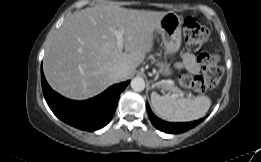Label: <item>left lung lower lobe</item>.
I'll return each mask as SVG.
<instances>
[{
  "label": "left lung lower lobe",
  "mask_w": 261,
  "mask_h": 162,
  "mask_svg": "<svg viewBox=\"0 0 261 162\" xmlns=\"http://www.w3.org/2000/svg\"><path fill=\"white\" fill-rule=\"evenodd\" d=\"M147 112L149 114V118L152 122V124L160 131L171 133V134H177L185 132L193 127H195L197 124H199L201 120H196L193 122H184V123H170L163 121L159 118H157L151 111L149 105H146Z\"/></svg>",
  "instance_id": "obj_1"
}]
</instances>
